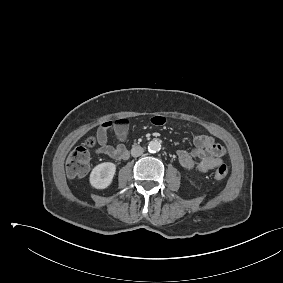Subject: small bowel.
Listing matches in <instances>:
<instances>
[{
	"mask_svg": "<svg viewBox=\"0 0 283 283\" xmlns=\"http://www.w3.org/2000/svg\"><path fill=\"white\" fill-rule=\"evenodd\" d=\"M154 125H163L165 119L162 116H154L151 119ZM129 125L125 119H119L114 122L107 121L100 125L96 133L98 148L96 153L105 155L116 160L128 158V150L125 141L128 135ZM113 130L118 143L116 146L108 144V132ZM195 148L192 151L178 150L177 157L179 163L185 169H195L199 172H207L222 164L225 148L216 143L214 138L208 134H197L194 137Z\"/></svg>",
	"mask_w": 283,
	"mask_h": 283,
	"instance_id": "c3829d8e",
	"label": "small bowel"
}]
</instances>
